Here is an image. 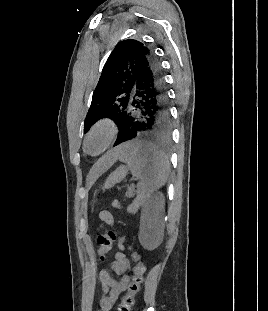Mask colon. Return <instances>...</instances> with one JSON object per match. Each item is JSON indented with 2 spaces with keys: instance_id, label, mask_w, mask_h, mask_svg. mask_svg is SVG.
Segmentation results:
<instances>
[{
  "instance_id": "obj_1",
  "label": "colon",
  "mask_w": 268,
  "mask_h": 311,
  "mask_svg": "<svg viewBox=\"0 0 268 311\" xmlns=\"http://www.w3.org/2000/svg\"><path fill=\"white\" fill-rule=\"evenodd\" d=\"M116 238L117 236L113 231L100 234L97 237V253L101 260H103L106 254L111 251ZM131 251L135 262L134 273L130 283L127 286V292L118 306V311H131L134 305L135 297L140 291L143 281L145 268L141 261V257L135 250L131 249Z\"/></svg>"
}]
</instances>
